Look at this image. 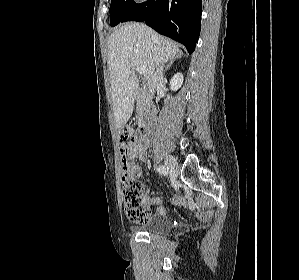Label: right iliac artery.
Masks as SVG:
<instances>
[{"label":"right iliac artery","instance_id":"obj_1","mask_svg":"<svg viewBox=\"0 0 299 280\" xmlns=\"http://www.w3.org/2000/svg\"><path fill=\"white\" fill-rule=\"evenodd\" d=\"M156 170L163 175H168L169 174V168L165 165H160L156 168Z\"/></svg>","mask_w":299,"mask_h":280}]
</instances>
